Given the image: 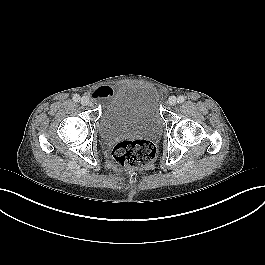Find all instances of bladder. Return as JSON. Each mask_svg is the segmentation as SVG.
Here are the masks:
<instances>
[{"mask_svg": "<svg viewBox=\"0 0 265 265\" xmlns=\"http://www.w3.org/2000/svg\"><path fill=\"white\" fill-rule=\"evenodd\" d=\"M163 126L157 91L145 83L121 85L106 99L98 120L104 140L132 134L158 136Z\"/></svg>", "mask_w": 265, "mask_h": 265, "instance_id": "31cf9c89", "label": "bladder"}]
</instances>
